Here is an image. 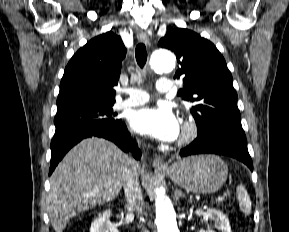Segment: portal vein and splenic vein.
Wrapping results in <instances>:
<instances>
[{"label": "portal vein and splenic vein", "mask_w": 289, "mask_h": 232, "mask_svg": "<svg viewBox=\"0 0 289 232\" xmlns=\"http://www.w3.org/2000/svg\"><path fill=\"white\" fill-rule=\"evenodd\" d=\"M225 199H226L225 196H219V197H217L216 201L217 202H223V201H225Z\"/></svg>", "instance_id": "18ae733b"}]
</instances>
